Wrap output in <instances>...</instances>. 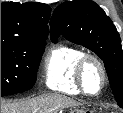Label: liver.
Masks as SVG:
<instances>
[{
	"mask_svg": "<svg viewBox=\"0 0 123 113\" xmlns=\"http://www.w3.org/2000/svg\"><path fill=\"white\" fill-rule=\"evenodd\" d=\"M74 104L71 99L60 95H42L12 103L1 100V113H56Z\"/></svg>",
	"mask_w": 123,
	"mask_h": 113,
	"instance_id": "liver-1",
	"label": "liver"
}]
</instances>
